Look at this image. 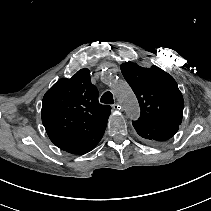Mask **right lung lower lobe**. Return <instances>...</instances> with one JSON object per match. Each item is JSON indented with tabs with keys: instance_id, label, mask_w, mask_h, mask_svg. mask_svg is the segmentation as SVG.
I'll return each instance as SVG.
<instances>
[{
	"instance_id": "98d812e1",
	"label": "right lung lower lobe",
	"mask_w": 211,
	"mask_h": 211,
	"mask_svg": "<svg viewBox=\"0 0 211 211\" xmlns=\"http://www.w3.org/2000/svg\"><path fill=\"white\" fill-rule=\"evenodd\" d=\"M101 139L97 141H92L87 144L72 148L70 150H67V152L72 153V154H85L89 151H91L100 141Z\"/></svg>"
}]
</instances>
